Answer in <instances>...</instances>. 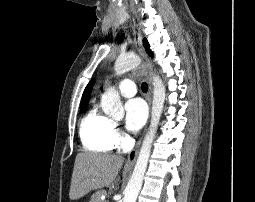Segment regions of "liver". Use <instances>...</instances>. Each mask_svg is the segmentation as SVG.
<instances>
[{
  "label": "liver",
  "mask_w": 255,
  "mask_h": 202,
  "mask_svg": "<svg viewBox=\"0 0 255 202\" xmlns=\"http://www.w3.org/2000/svg\"><path fill=\"white\" fill-rule=\"evenodd\" d=\"M123 161V157L117 155L79 153L74 163L69 198L78 200L91 190L111 184Z\"/></svg>",
  "instance_id": "liver-1"
}]
</instances>
